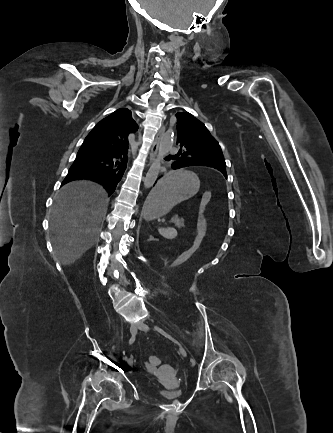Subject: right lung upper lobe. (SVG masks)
<instances>
[{
  "mask_svg": "<svg viewBox=\"0 0 333 433\" xmlns=\"http://www.w3.org/2000/svg\"><path fill=\"white\" fill-rule=\"evenodd\" d=\"M138 125L132 119L131 111L121 108L101 120L89 133L94 149L99 153L128 149V135L134 133Z\"/></svg>",
  "mask_w": 333,
  "mask_h": 433,
  "instance_id": "obj_1",
  "label": "right lung upper lobe"
}]
</instances>
